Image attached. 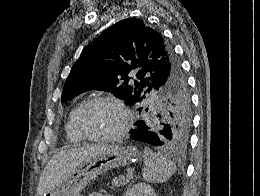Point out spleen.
Listing matches in <instances>:
<instances>
[{
  "label": "spleen",
  "mask_w": 260,
  "mask_h": 196,
  "mask_svg": "<svg viewBox=\"0 0 260 196\" xmlns=\"http://www.w3.org/2000/svg\"><path fill=\"white\" fill-rule=\"evenodd\" d=\"M143 180L150 184H161L167 182L176 172V166L171 160L159 152H152L150 148L144 150Z\"/></svg>",
  "instance_id": "spleen-1"
}]
</instances>
